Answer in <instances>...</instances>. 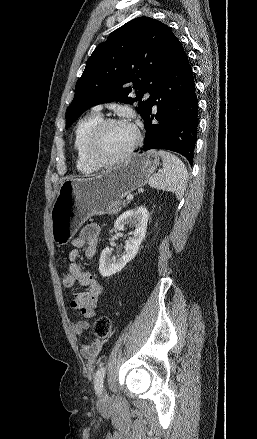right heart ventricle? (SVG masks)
Returning a JSON list of instances; mask_svg holds the SVG:
<instances>
[{
  "label": "right heart ventricle",
  "mask_w": 257,
  "mask_h": 439,
  "mask_svg": "<svg viewBox=\"0 0 257 439\" xmlns=\"http://www.w3.org/2000/svg\"><path fill=\"white\" fill-rule=\"evenodd\" d=\"M101 120L100 113L92 112L78 122L74 131L73 146L76 153V166L84 174H90L96 170V166L90 162L86 154L85 146L90 132Z\"/></svg>",
  "instance_id": "1"
}]
</instances>
